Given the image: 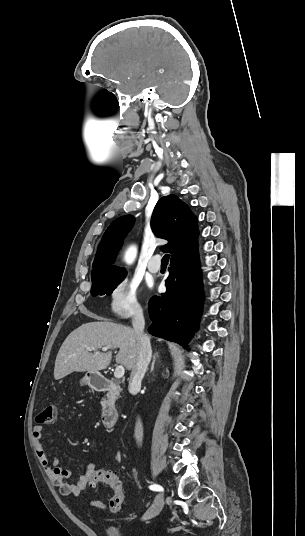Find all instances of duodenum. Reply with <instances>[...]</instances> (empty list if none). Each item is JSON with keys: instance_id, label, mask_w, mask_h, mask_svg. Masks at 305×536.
Masks as SVG:
<instances>
[{"instance_id": "1", "label": "duodenum", "mask_w": 305, "mask_h": 536, "mask_svg": "<svg viewBox=\"0 0 305 536\" xmlns=\"http://www.w3.org/2000/svg\"><path fill=\"white\" fill-rule=\"evenodd\" d=\"M91 386L96 391L106 393L101 412V421L105 428H113L118 422L115 400L119 395V388L116 382L101 376H93L91 378Z\"/></svg>"}]
</instances>
